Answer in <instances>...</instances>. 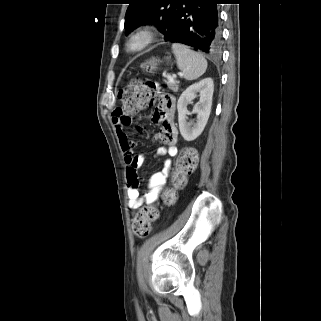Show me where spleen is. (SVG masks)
<instances>
[{
  "instance_id": "spleen-1",
  "label": "spleen",
  "mask_w": 321,
  "mask_h": 321,
  "mask_svg": "<svg viewBox=\"0 0 321 321\" xmlns=\"http://www.w3.org/2000/svg\"><path fill=\"white\" fill-rule=\"evenodd\" d=\"M172 50L176 57L177 66L186 80H196L205 73L207 61L202 54L180 43L172 44Z\"/></svg>"
}]
</instances>
